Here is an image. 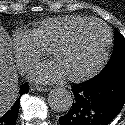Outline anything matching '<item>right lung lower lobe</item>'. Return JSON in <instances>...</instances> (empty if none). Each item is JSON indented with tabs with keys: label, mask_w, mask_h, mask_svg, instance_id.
<instances>
[{
	"label": "right lung lower lobe",
	"mask_w": 125,
	"mask_h": 125,
	"mask_svg": "<svg viewBox=\"0 0 125 125\" xmlns=\"http://www.w3.org/2000/svg\"><path fill=\"white\" fill-rule=\"evenodd\" d=\"M29 91L28 83H24L19 88V95H23ZM19 101L17 100L12 107L4 114L0 115V125H15L18 117Z\"/></svg>",
	"instance_id": "98d812e1"
}]
</instances>
